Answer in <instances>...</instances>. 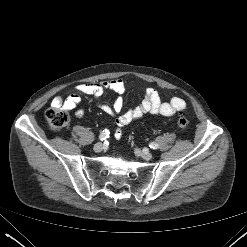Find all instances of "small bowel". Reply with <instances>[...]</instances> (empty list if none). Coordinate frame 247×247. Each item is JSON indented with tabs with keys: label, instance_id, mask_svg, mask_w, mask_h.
<instances>
[{
	"label": "small bowel",
	"instance_id": "obj_1",
	"mask_svg": "<svg viewBox=\"0 0 247 247\" xmlns=\"http://www.w3.org/2000/svg\"><path fill=\"white\" fill-rule=\"evenodd\" d=\"M76 90L78 93H73L66 99H63L60 96L54 97L51 102L52 107L71 110L79 105L81 101L80 94L90 95L98 100L99 107L105 113L116 117V123L118 126V129L115 132L116 138H118L117 132L120 131L122 126L141 118L144 114L172 117L177 113L184 111L186 108V103L182 98L173 97L168 101H163L156 89L147 88L140 104L123 111L124 103L122 94L125 91V84L121 79L105 80L98 83H82L76 87ZM107 90L113 91L117 94L112 105L99 101L100 97ZM75 115L78 118H82L84 116V111L78 109L75 112Z\"/></svg>",
	"mask_w": 247,
	"mask_h": 247
}]
</instances>
